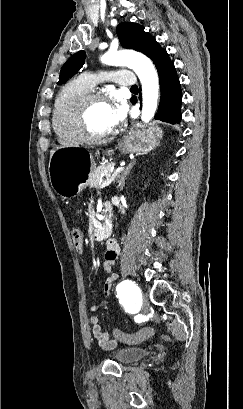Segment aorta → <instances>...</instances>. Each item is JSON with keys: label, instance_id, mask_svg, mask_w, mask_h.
Wrapping results in <instances>:
<instances>
[{"label": "aorta", "instance_id": "1", "mask_svg": "<svg viewBox=\"0 0 243 409\" xmlns=\"http://www.w3.org/2000/svg\"><path fill=\"white\" fill-rule=\"evenodd\" d=\"M101 61L111 66H127L133 69L142 85L143 108L141 119L148 123L155 115L159 94V79L151 60L132 51H109Z\"/></svg>", "mask_w": 243, "mask_h": 409}]
</instances>
